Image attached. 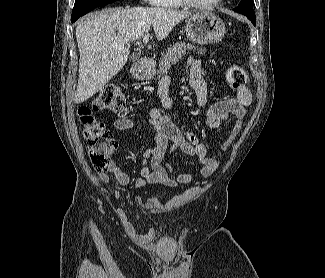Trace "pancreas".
I'll use <instances>...</instances> for the list:
<instances>
[{
    "label": "pancreas",
    "instance_id": "obj_1",
    "mask_svg": "<svg viewBox=\"0 0 325 278\" xmlns=\"http://www.w3.org/2000/svg\"><path fill=\"white\" fill-rule=\"evenodd\" d=\"M187 50H197L199 55H203L206 52L205 48L198 49L191 44H186L185 42H177L171 45L167 49L164 57L159 61L158 77H160V74L167 73L171 65L177 63V61L186 54Z\"/></svg>",
    "mask_w": 325,
    "mask_h": 278
}]
</instances>
